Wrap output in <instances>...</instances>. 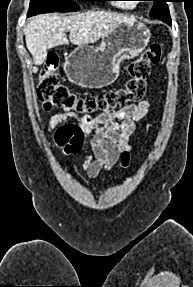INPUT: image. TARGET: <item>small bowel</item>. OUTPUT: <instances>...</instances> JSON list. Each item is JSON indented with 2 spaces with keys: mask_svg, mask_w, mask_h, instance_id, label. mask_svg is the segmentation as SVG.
<instances>
[{
  "mask_svg": "<svg viewBox=\"0 0 193 287\" xmlns=\"http://www.w3.org/2000/svg\"><path fill=\"white\" fill-rule=\"evenodd\" d=\"M149 107L150 101L145 99L113 110L98 120H89V125L73 112L64 111L51 117L46 130L52 132L55 129L53 141L57 142L63 156H68L69 152L71 156H85L79 168L89 176L97 177L117 163L128 167L129 137L137 129L138 122L147 115Z\"/></svg>",
  "mask_w": 193,
  "mask_h": 287,
  "instance_id": "small-bowel-1",
  "label": "small bowel"
}]
</instances>
